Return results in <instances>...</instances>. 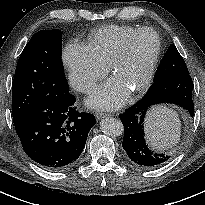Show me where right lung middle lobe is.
<instances>
[{
    "label": "right lung middle lobe",
    "mask_w": 205,
    "mask_h": 205,
    "mask_svg": "<svg viewBox=\"0 0 205 205\" xmlns=\"http://www.w3.org/2000/svg\"><path fill=\"white\" fill-rule=\"evenodd\" d=\"M62 32L41 30L25 46L12 83L14 125L44 100L69 92L62 62Z\"/></svg>",
    "instance_id": "dd1d6c3e"
}]
</instances>
